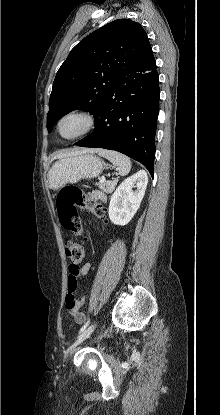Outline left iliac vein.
Segmentation results:
<instances>
[{
	"mask_svg": "<svg viewBox=\"0 0 220 415\" xmlns=\"http://www.w3.org/2000/svg\"><path fill=\"white\" fill-rule=\"evenodd\" d=\"M96 328V323L90 325L86 330L79 335L77 340L73 343V345L68 349L67 354L73 351L79 344H81L84 340H86Z\"/></svg>",
	"mask_w": 220,
	"mask_h": 415,
	"instance_id": "obj_1",
	"label": "left iliac vein"
}]
</instances>
